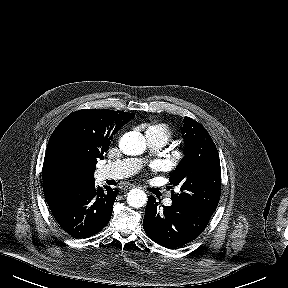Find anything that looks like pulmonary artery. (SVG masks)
I'll return each instance as SVG.
<instances>
[{"instance_id":"e3ab8cb5","label":"pulmonary artery","mask_w":288,"mask_h":288,"mask_svg":"<svg viewBox=\"0 0 288 288\" xmlns=\"http://www.w3.org/2000/svg\"><path fill=\"white\" fill-rule=\"evenodd\" d=\"M146 138L152 149H159L167 143L164 137L151 132H146ZM140 166L141 161L138 159H123L102 166L98 171V176L101 179H122L135 174ZM164 204L170 206L171 198H166Z\"/></svg>"}]
</instances>
